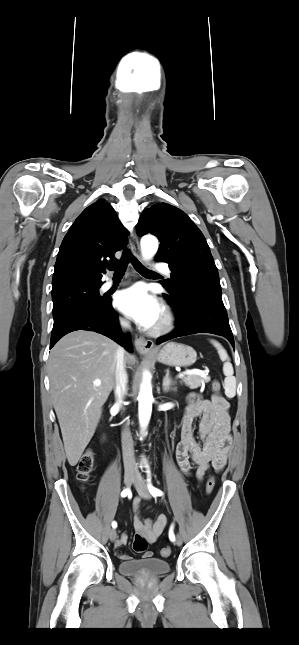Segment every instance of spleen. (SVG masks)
<instances>
[{
    "instance_id": "spleen-1",
    "label": "spleen",
    "mask_w": 299,
    "mask_h": 645,
    "mask_svg": "<svg viewBox=\"0 0 299 645\" xmlns=\"http://www.w3.org/2000/svg\"><path fill=\"white\" fill-rule=\"evenodd\" d=\"M211 343L217 349V352L219 354L221 361L224 362L223 373L225 375V380H224L223 386L225 389V395L228 398H233L236 394V378L235 376H233L234 370L230 362V358L226 350L222 347V345L219 342L215 340H211Z\"/></svg>"
}]
</instances>
